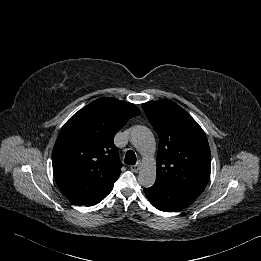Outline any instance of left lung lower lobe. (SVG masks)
<instances>
[{"instance_id": "0a47b994", "label": "left lung lower lobe", "mask_w": 261, "mask_h": 261, "mask_svg": "<svg viewBox=\"0 0 261 261\" xmlns=\"http://www.w3.org/2000/svg\"><path fill=\"white\" fill-rule=\"evenodd\" d=\"M144 192L151 204L164 212L184 209L191 205L199 196L191 191L158 183H155L150 188H145Z\"/></svg>"}]
</instances>
